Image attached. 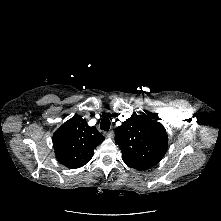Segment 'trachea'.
Listing matches in <instances>:
<instances>
[{"label":"trachea","mask_w":221,"mask_h":221,"mask_svg":"<svg viewBox=\"0 0 221 221\" xmlns=\"http://www.w3.org/2000/svg\"><path fill=\"white\" fill-rule=\"evenodd\" d=\"M110 120L107 116H104L102 119H101V124H100V128L101 130H104V131H108L110 129Z\"/></svg>","instance_id":"obj_1"}]
</instances>
